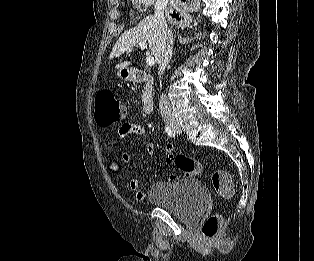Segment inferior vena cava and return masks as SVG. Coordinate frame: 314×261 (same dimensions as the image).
<instances>
[{
    "instance_id": "602c4592",
    "label": "inferior vena cava",
    "mask_w": 314,
    "mask_h": 261,
    "mask_svg": "<svg viewBox=\"0 0 314 261\" xmlns=\"http://www.w3.org/2000/svg\"><path fill=\"white\" fill-rule=\"evenodd\" d=\"M168 0H156L155 4V17L158 19L160 28L162 29L165 36V47L161 54L159 61V74H163L173 55V37L172 33L167 27V23L164 17ZM159 109L163 119H173V112L171 109L170 102L166 94H161L159 98Z\"/></svg>"
}]
</instances>
